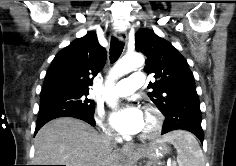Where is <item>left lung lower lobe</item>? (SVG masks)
Wrapping results in <instances>:
<instances>
[{
	"mask_svg": "<svg viewBox=\"0 0 236 166\" xmlns=\"http://www.w3.org/2000/svg\"><path fill=\"white\" fill-rule=\"evenodd\" d=\"M162 134L173 130H187L195 134L203 143L204 133L201 127L202 113L199 100L191 101L182 110H173L166 114Z\"/></svg>",
	"mask_w": 236,
	"mask_h": 166,
	"instance_id": "0a47b994",
	"label": "left lung lower lobe"
}]
</instances>
